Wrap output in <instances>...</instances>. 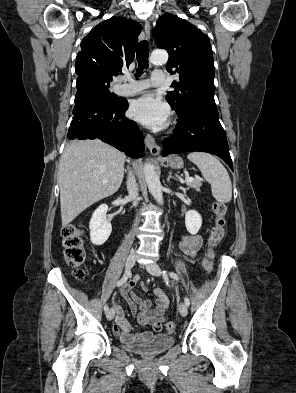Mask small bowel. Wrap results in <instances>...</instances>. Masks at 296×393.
Instances as JSON below:
<instances>
[{
	"label": "small bowel",
	"instance_id": "1",
	"mask_svg": "<svg viewBox=\"0 0 296 393\" xmlns=\"http://www.w3.org/2000/svg\"><path fill=\"white\" fill-rule=\"evenodd\" d=\"M202 245L203 239L200 235H186L180 240L179 249L185 255L194 257L201 249ZM139 281L140 277L138 275L135 276L132 282L124 286L121 290V294L128 302L130 311L135 316L138 323L141 325H151L153 331L155 333H159L162 330L165 313L169 307V297L158 287L154 288V294L156 296L154 303L149 299L139 297L133 292L134 287ZM140 286L144 290L147 289V285L143 281H140ZM114 311L116 313V318L113 325V331L120 337L123 343L134 344L137 342L148 341L153 336V333L150 331L142 333L130 332V324L122 307L118 304H114Z\"/></svg>",
	"mask_w": 296,
	"mask_h": 393
}]
</instances>
